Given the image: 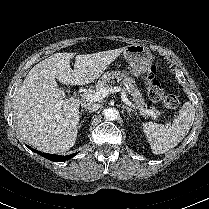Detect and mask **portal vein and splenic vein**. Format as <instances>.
I'll list each match as a JSON object with an SVG mask.
<instances>
[{"label":"portal vein and splenic vein","mask_w":209,"mask_h":209,"mask_svg":"<svg viewBox=\"0 0 209 209\" xmlns=\"http://www.w3.org/2000/svg\"><path fill=\"white\" fill-rule=\"evenodd\" d=\"M114 92H120L121 93V98L123 100V102L125 104H127L128 106L134 108V109H138L140 112L144 113V114H148L154 118H156V114L154 113V111L150 110V109H146V108H138L135 104H133L126 95V92L121 88V87H111V88H101L100 90L93 92V93H89L87 95H84V99H86V101H99L103 98H105L106 96H108L110 93H114Z\"/></svg>","instance_id":"obj_1"}]
</instances>
